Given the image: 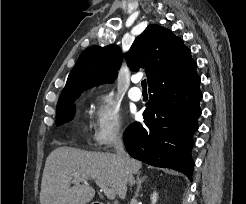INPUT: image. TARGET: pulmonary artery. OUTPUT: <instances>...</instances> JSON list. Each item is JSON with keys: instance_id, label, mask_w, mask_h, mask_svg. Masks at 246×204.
Returning <instances> with one entry per match:
<instances>
[{"instance_id": "pulmonary-artery-1", "label": "pulmonary artery", "mask_w": 246, "mask_h": 204, "mask_svg": "<svg viewBox=\"0 0 246 204\" xmlns=\"http://www.w3.org/2000/svg\"><path fill=\"white\" fill-rule=\"evenodd\" d=\"M139 80V77H134L132 81L134 84H137ZM128 96L132 101H139L142 98V92L138 87L134 86L129 90Z\"/></svg>"}]
</instances>
